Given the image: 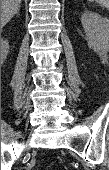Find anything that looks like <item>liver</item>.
<instances>
[{
  "label": "liver",
  "mask_w": 109,
  "mask_h": 170,
  "mask_svg": "<svg viewBox=\"0 0 109 170\" xmlns=\"http://www.w3.org/2000/svg\"><path fill=\"white\" fill-rule=\"evenodd\" d=\"M21 0H1V26L6 25L20 8Z\"/></svg>",
  "instance_id": "6515ba94"
}]
</instances>
